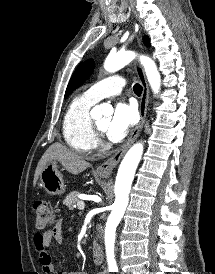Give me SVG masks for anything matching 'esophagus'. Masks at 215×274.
<instances>
[{
  "label": "esophagus",
  "mask_w": 215,
  "mask_h": 274,
  "mask_svg": "<svg viewBox=\"0 0 215 274\" xmlns=\"http://www.w3.org/2000/svg\"><path fill=\"white\" fill-rule=\"evenodd\" d=\"M135 69H136L138 78L141 82V85L143 87L141 100H140V121L138 125L135 127V129L133 130L127 142L113 156H111L108 160H106L105 162H103L97 167L96 173L101 176L108 177L111 175L113 169L118 165V163L120 162L121 158L123 157L127 149L139 136L142 130L143 124L145 122V117H146L147 107H148V100H149V88H148V83L146 80L144 70L138 62H136L135 64Z\"/></svg>",
  "instance_id": "34e87169"
}]
</instances>
